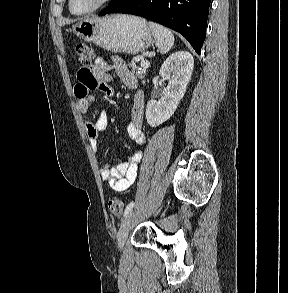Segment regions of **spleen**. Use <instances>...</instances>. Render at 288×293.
<instances>
[{"label":"spleen","mask_w":288,"mask_h":293,"mask_svg":"<svg viewBox=\"0 0 288 293\" xmlns=\"http://www.w3.org/2000/svg\"><path fill=\"white\" fill-rule=\"evenodd\" d=\"M149 27L154 35L160 53L165 54L170 51L175 41L173 33L166 27L154 22H149Z\"/></svg>","instance_id":"1"}]
</instances>
